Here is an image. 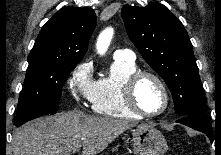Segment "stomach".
<instances>
[{
	"instance_id": "stomach-1",
	"label": "stomach",
	"mask_w": 221,
	"mask_h": 155,
	"mask_svg": "<svg viewBox=\"0 0 221 155\" xmlns=\"http://www.w3.org/2000/svg\"><path fill=\"white\" fill-rule=\"evenodd\" d=\"M133 148L137 155H164L168 150L166 139L155 127L142 124L132 131Z\"/></svg>"
}]
</instances>
